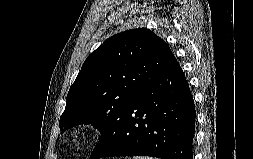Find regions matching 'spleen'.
Segmentation results:
<instances>
[{
	"instance_id": "1",
	"label": "spleen",
	"mask_w": 253,
	"mask_h": 159,
	"mask_svg": "<svg viewBox=\"0 0 253 159\" xmlns=\"http://www.w3.org/2000/svg\"><path fill=\"white\" fill-rule=\"evenodd\" d=\"M133 159H158V158L147 157V156H134Z\"/></svg>"
}]
</instances>
